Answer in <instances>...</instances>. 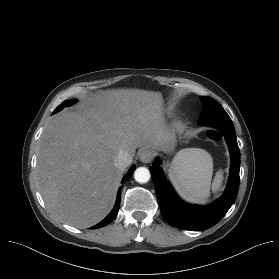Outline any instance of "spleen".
<instances>
[{"instance_id":"spleen-1","label":"spleen","mask_w":279,"mask_h":279,"mask_svg":"<svg viewBox=\"0 0 279 279\" xmlns=\"http://www.w3.org/2000/svg\"><path fill=\"white\" fill-rule=\"evenodd\" d=\"M213 160L211 155L199 148L185 149L178 153L171 163L169 176L179 193L186 201L205 203L210 190L216 193L222 184L223 173L218 171L212 180Z\"/></svg>"}]
</instances>
